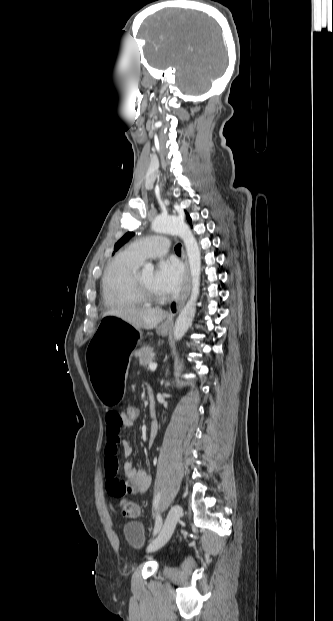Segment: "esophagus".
<instances>
[{"label": "esophagus", "instance_id": "1", "mask_svg": "<svg viewBox=\"0 0 333 621\" xmlns=\"http://www.w3.org/2000/svg\"><path fill=\"white\" fill-rule=\"evenodd\" d=\"M184 258H185V264H186V277H185V285H184V289L182 291V294L180 296V298L174 302H172L170 304V312L169 315L165 321V325H170L173 322V318L174 316L182 309L188 295L190 292V276H189V267H188V262H187V258L185 256L184 253Z\"/></svg>", "mask_w": 333, "mask_h": 621}]
</instances>
